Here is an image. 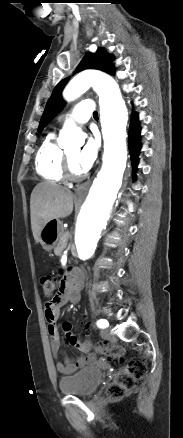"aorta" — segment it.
Listing matches in <instances>:
<instances>
[{"label": "aorta", "instance_id": "762f6f07", "mask_svg": "<svg viewBox=\"0 0 183 438\" xmlns=\"http://www.w3.org/2000/svg\"><path fill=\"white\" fill-rule=\"evenodd\" d=\"M90 87L99 95L104 155L102 168L93 181L76 219L75 245L80 260H88L95 253L121 187L127 161L128 111L115 80L99 72H81L68 83L63 97L72 101ZM78 132L75 123L67 120L60 131V147L67 146Z\"/></svg>", "mask_w": 183, "mask_h": 438}]
</instances>
